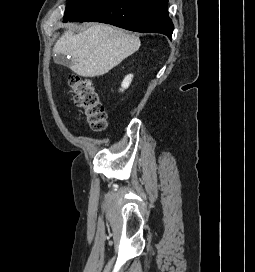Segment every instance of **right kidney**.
I'll return each mask as SVG.
<instances>
[{
    "label": "right kidney",
    "instance_id": "ca27d5eb",
    "mask_svg": "<svg viewBox=\"0 0 255 272\" xmlns=\"http://www.w3.org/2000/svg\"><path fill=\"white\" fill-rule=\"evenodd\" d=\"M132 78H133L132 74H129L124 78V80L122 82V85H121L122 86L121 91H124L125 89H127L129 87V85H130V83L132 81Z\"/></svg>",
    "mask_w": 255,
    "mask_h": 272
}]
</instances>
